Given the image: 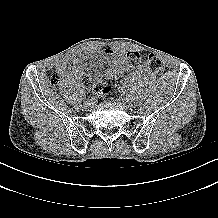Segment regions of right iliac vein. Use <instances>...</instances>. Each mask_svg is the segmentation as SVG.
<instances>
[{"label":"right iliac vein","mask_w":218,"mask_h":218,"mask_svg":"<svg viewBox=\"0 0 218 218\" xmlns=\"http://www.w3.org/2000/svg\"><path fill=\"white\" fill-rule=\"evenodd\" d=\"M93 105H94V99L93 100H86L84 102L83 108L85 110H89V109H91L93 107Z\"/></svg>","instance_id":"right-iliac-vein-1"}]
</instances>
